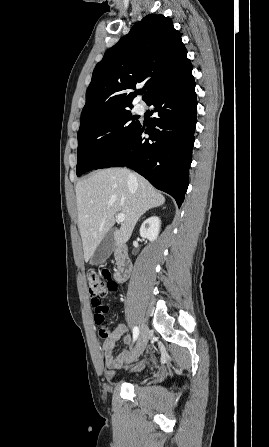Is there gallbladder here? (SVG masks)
<instances>
[{
  "label": "gallbladder",
  "instance_id": "bac80fb5",
  "mask_svg": "<svg viewBox=\"0 0 269 447\" xmlns=\"http://www.w3.org/2000/svg\"><path fill=\"white\" fill-rule=\"evenodd\" d=\"M117 227H113L111 231L106 233L105 237H103L101 243H99L98 247H96L91 259V265H98V263H103L109 255H111L114 245L116 243L114 233Z\"/></svg>",
  "mask_w": 269,
  "mask_h": 447
}]
</instances>
